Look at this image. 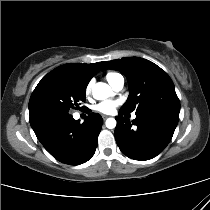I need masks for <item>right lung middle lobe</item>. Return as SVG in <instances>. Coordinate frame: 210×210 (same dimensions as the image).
<instances>
[{"label": "right lung middle lobe", "instance_id": "right-lung-middle-lobe-1", "mask_svg": "<svg viewBox=\"0 0 210 210\" xmlns=\"http://www.w3.org/2000/svg\"><path fill=\"white\" fill-rule=\"evenodd\" d=\"M86 85L65 77L39 83L29 101L30 124L53 116L69 115V109L85 102Z\"/></svg>", "mask_w": 210, "mask_h": 210}]
</instances>
